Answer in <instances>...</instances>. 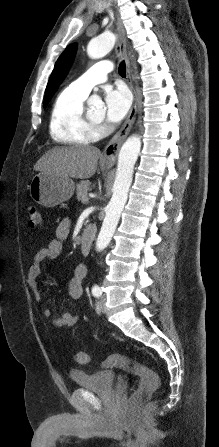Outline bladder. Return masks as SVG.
Returning a JSON list of instances; mask_svg holds the SVG:
<instances>
[{
    "instance_id": "31cf9c89",
    "label": "bladder",
    "mask_w": 219,
    "mask_h": 447,
    "mask_svg": "<svg viewBox=\"0 0 219 447\" xmlns=\"http://www.w3.org/2000/svg\"><path fill=\"white\" fill-rule=\"evenodd\" d=\"M116 373L111 370L89 372L84 370H71L70 378L81 389L93 392L110 390L115 385Z\"/></svg>"
}]
</instances>
